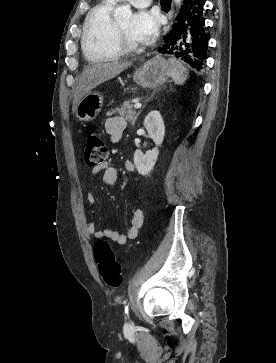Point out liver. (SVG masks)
Masks as SVG:
<instances>
[{"instance_id":"6515ba94","label":"liver","mask_w":276,"mask_h":363,"mask_svg":"<svg viewBox=\"0 0 276 363\" xmlns=\"http://www.w3.org/2000/svg\"><path fill=\"white\" fill-rule=\"evenodd\" d=\"M130 65V62L114 61L96 63L85 67L75 89L72 111L75 112L76 107L83 96L98 85L113 79Z\"/></svg>"}]
</instances>
